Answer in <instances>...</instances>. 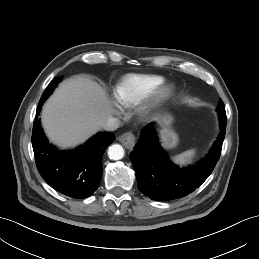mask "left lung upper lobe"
<instances>
[{"instance_id": "obj_1", "label": "left lung upper lobe", "mask_w": 259, "mask_h": 259, "mask_svg": "<svg viewBox=\"0 0 259 259\" xmlns=\"http://www.w3.org/2000/svg\"><path fill=\"white\" fill-rule=\"evenodd\" d=\"M220 109L225 110L224 104L221 100L219 101L218 106H217V110H220Z\"/></svg>"}]
</instances>
